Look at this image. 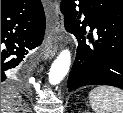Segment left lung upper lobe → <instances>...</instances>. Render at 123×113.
Masks as SVG:
<instances>
[{
  "instance_id": "obj_1",
  "label": "left lung upper lobe",
  "mask_w": 123,
  "mask_h": 113,
  "mask_svg": "<svg viewBox=\"0 0 123 113\" xmlns=\"http://www.w3.org/2000/svg\"><path fill=\"white\" fill-rule=\"evenodd\" d=\"M117 1L119 4L123 5V0H115Z\"/></svg>"
}]
</instances>
